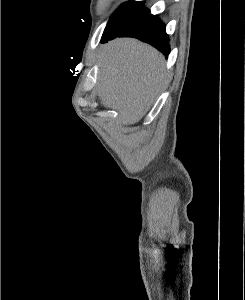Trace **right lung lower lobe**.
<instances>
[{
  "mask_svg": "<svg viewBox=\"0 0 245 300\" xmlns=\"http://www.w3.org/2000/svg\"><path fill=\"white\" fill-rule=\"evenodd\" d=\"M116 37H135L151 44L166 56L170 52L169 37L166 34L165 25L156 15L148 14L123 32L102 38L101 42L105 43Z\"/></svg>",
  "mask_w": 245,
  "mask_h": 300,
  "instance_id": "1",
  "label": "right lung lower lobe"
}]
</instances>
